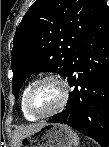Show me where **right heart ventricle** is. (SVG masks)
Returning <instances> with one entry per match:
<instances>
[{
	"label": "right heart ventricle",
	"instance_id": "e07e8e85",
	"mask_svg": "<svg viewBox=\"0 0 109 147\" xmlns=\"http://www.w3.org/2000/svg\"><path fill=\"white\" fill-rule=\"evenodd\" d=\"M31 85H32V83H31V84H28V85L25 87V89H24V91H23V93H22V96H21L20 107H21L22 115L24 116V118H25L26 120H28V121H35L36 118L33 117V116H31V115H29V114L27 113V111L25 110V106H24V99H25L26 93H27V91L29 90V88L31 87Z\"/></svg>",
	"mask_w": 109,
	"mask_h": 147
}]
</instances>
